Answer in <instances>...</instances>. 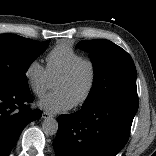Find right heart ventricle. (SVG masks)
<instances>
[{"instance_id":"e07e8e85","label":"right heart ventricle","mask_w":156,"mask_h":156,"mask_svg":"<svg viewBox=\"0 0 156 156\" xmlns=\"http://www.w3.org/2000/svg\"><path fill=\"white\" fill-rule=\"evenodd\" d=\"M82 58V55L67 43L56 45L46 57V70L50 80H55L73 63Z\"/></svg>"}]
</instances>
